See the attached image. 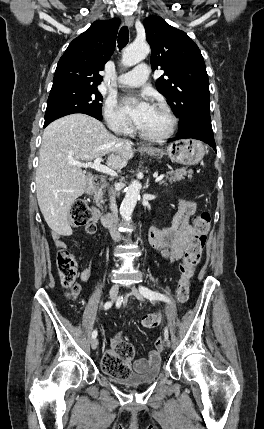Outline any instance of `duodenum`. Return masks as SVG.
I'll return each instance as SVG.
<instances>
[{"label": "duodenum", "instance_id": "1", "mask_svg": "<svg viewBox=\"0 0 264 429\" xmlns=\"http://www.w3.org/2000/svg\"><path fill=\"white\" fill-rule=\"evenodd\" d=\"M94 184H95V178L90 177L88 179L87 188H86V193L88 195H92L93 194V192H94ZM113 214L114 213H112V212H109V213H106V214L97 213L96 217H97V219L100 220V222H101V224L103 226L110 227L109 226L110 222L113 221Z\"/></svg>", "mask_w": 264, "mask_h": 429}]
</instances>
